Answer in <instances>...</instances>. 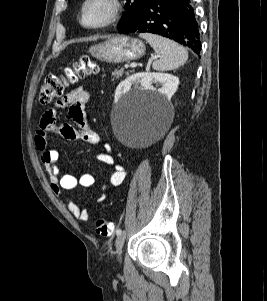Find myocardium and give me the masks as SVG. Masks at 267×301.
I'll return each instance as SVG.
<instances>
[{"label": "myocardium", "instance_id": "f54148a6", "mask_svg": "<svg viewBox=\"0 0 267 301\" xmlns=\"http://www.w3.org/2000/svg\"><path fill=\"white\" fill-rule=\"evenodd\" d=\"M94 0H84L81 6V11H80V22L81 24L88 29H101L108 27L115 23L122 12V2L121 0H104L108 6H109V14L107 17L95 24H88L85 20V15H86V9L89 6L90 3H92Z\"/></svg>", "mask_w": 267, "mask_h": 301}]
</instances>
